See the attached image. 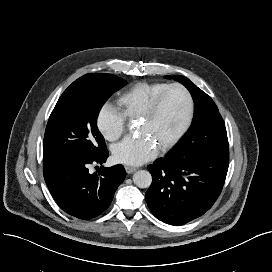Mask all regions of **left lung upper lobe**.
<instances>
[{
	"instance_id": "obj_1",
	"label": "left lung upper lobe",
	"mask_w": 272,
	"mask_h": 272,
	"mask_svg": "<svg viewBox=\"0 0 272 272\" xmlns=\"http://www.w3.org/2000/svg\"><path fill=\"white\" fill-rule=\"evenodd\" d=\"M172 78L190 91L195 103V117L186 137L170 154L189 157L229 152L225 124L213 100L188 78L181 75Z\"/></svg>"
}]
</instances>
